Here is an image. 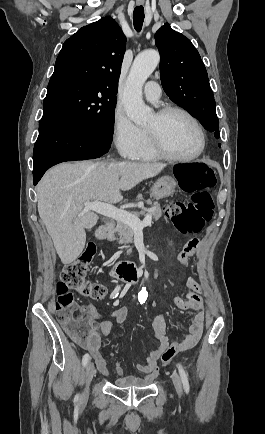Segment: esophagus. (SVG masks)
Listing matches in <instances>:
<instances>
[{
	"instance_id": "34e87169",
	"label": "esophagus",
	"mask_w": 265,
	"mask_h": 434,
	"mask_svg": "<svg viewBox=\"0 0 265 434\" xmlns=\"http://www.w3.org/2000/svg\"><path fill=\"white\" fill-rule=\"evenodd\" d=\"M137 5H141V3H137Z\"/></svg>"
}]
</instances>
